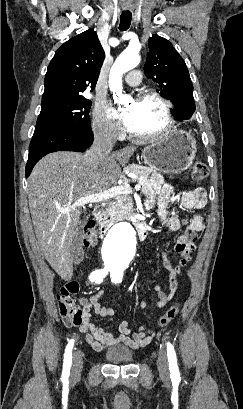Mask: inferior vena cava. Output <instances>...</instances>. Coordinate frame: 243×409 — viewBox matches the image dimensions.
<instances>
[{
  "mask_svg": "<svg viewBox=\"0 0 243 409\" xmlns=\"http://www.w3.org/2000/svg\"><path fill=\"white\" fill-rule=\"evenodd\" d=\"M115 144V137L108 131L98 130L94 133V141L84 155L86 162L97 164L107 157Z\"/></svg>",
  "mask_w": 243,
  "mask_h": 409,
  "instance_id": "obj_1",
  "label": "inferior vena cava"
}]
</instances>
